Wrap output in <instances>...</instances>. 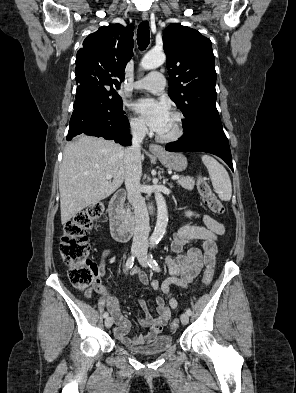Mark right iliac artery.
<instances>
[{
  "label": "right iliac artery",
  "instance_id": "obj_1",
  "mask_svg": "<svg viewBox=\"0 0 296 393\" xmlns=\"http://www.w3.org/2000/svg\"><path fill=\"white\" fill-rule=\"evenodd\" d=\"M134 260H135V256H131L128 258L127 262H126V268L127 269H131L133 264H134ZM109 316L108 312H104L103 317L107 318Z\"/></svg>",
  "mask_w": 296,
  "mask_h": 393
}]
</instances>
